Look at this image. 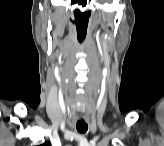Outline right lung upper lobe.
<instances>
[{
    "mask_svg": "<svg viewBox=\"0 0 164 146\" xmlns=\"http://www.w3.org/2000/svg\"><path fill=\"white\" fill-rule=\"evenodd\" d=\"M49 145V143L48 142H46V143H44L42 146H48Z\"/></svg>",
    "mask_w": 164,
    "mask_h": 146,
    "instance_id": "right-lung-upper-lobe-1",
    "label": "right lung upper lobe"
}]
</instances>
